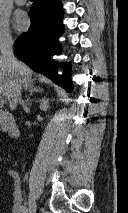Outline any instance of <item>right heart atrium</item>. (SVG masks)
Instances as JSON below:
<instances>
[{"instance_id":"obj_1","label":"right heart atrium","mask_w":128,"mask_h":213,"mask_svg":"<svg viewBox=\"0 0 128 213\" xmlns=\"http://www.w3.org/2000/svg\"><path fill=\"white\" fill-rule=\"evenodd\" d=\"M12 43L9 19L0 13V49Z\"/></svg>"}]
</instances>
